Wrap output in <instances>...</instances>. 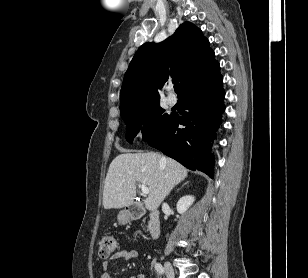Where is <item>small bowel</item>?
<instances>
[{"mask_svg": "<svg viewBox=\"0 0 308 278\" xmlns=\"http://www.w3.org/2000/svg\"><path fill=\"white\" fill-rule=\"evenodd\" d=\"M138 256V251L135 249H121L109 258L108 261H105L102 264L103 273L101 275V278H111L110 275L107 273V270L110 266L111 262H126L130 261L132 259H135ZM129 278H147L145 274L138 273L135 275L130 276Z\"/></svg>", "mask_w": 308, "mask_h": 278, "instance_id": "small-bowel-1", "label": "small bowel"}]
</instances>
